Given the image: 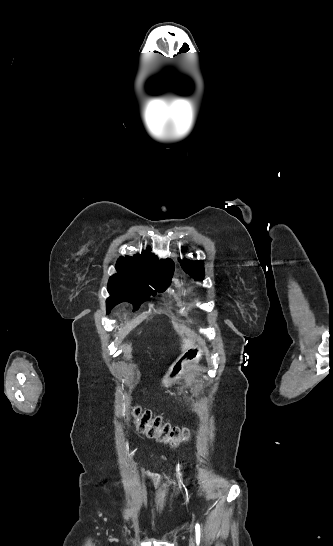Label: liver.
I'll list each match as a JSON object with an SVG mask.
<instances>
[{"label":"liver","mask_w":333,"mask_h":546,"mask_svg":"<svg viewBox=\"0 0 333 546\" xmlns=\"http://www.w3.org/2000/svg\"><path fill=\"white\" fill-rule=\"evenodd\" d=\"M192 345H193V341L191 339H183V341H182V351L185 352Z\"/></svg>","instance_id":"obj_1"}]
</instances>
